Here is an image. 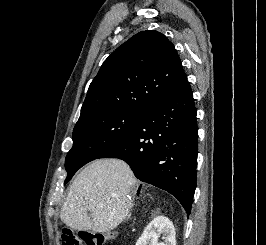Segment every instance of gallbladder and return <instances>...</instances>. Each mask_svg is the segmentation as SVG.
<instances>
[{
  "mask_svg": "<svg viewBox=\"0 0 266 245\" xmlns=\"http://www.w3.org/2000/svg\"><path fill=\"white\" fill-rule=\"evenodd\" d=\"M88 217H92L91 213H88Z\"/></svg>",
  "mask_w": 266,
  "mask_h": 245,
  "instance_id": "bac80fb5",
  "label": "gallbladder"
}]
</instances>
